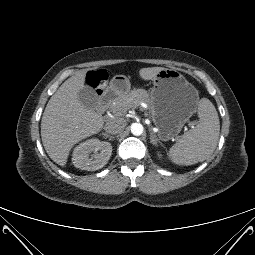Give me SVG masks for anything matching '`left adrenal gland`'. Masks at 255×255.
<instances>
[{
	"mask_svg": "<svg viewBox=\"0 0 255 255\" xmlns=\"http://www.w3.org/2000/svg\"><path fill=\"white\" fill-rule=\"evenodd\" d=\"M149 131H150V142H151L153 145L158 146V145H157L158 140L156 139L154 133L151 131V129H149Z\"/></svg>",
	"mask_w": 255,
	"mask_h": 255,
	"instance_id": "obj_1",
	"label": "left adrenal gland"
}]
</instances>
